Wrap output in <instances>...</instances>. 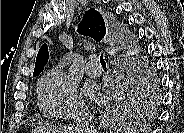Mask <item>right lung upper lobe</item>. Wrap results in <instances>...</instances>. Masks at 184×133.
I'll return each instance as SVG.
<instances>
[{
    "label": "right lung upper lobe",
    "instance_id": "cb5924a9",
    "mask_svg": "<svg viewBox=\"0 0 184 133\" xmlns=\"http://www.w3.org/2000/svg\"><path fill=\"white\" fill-rule=\"evenodd\" d=\"M77 32L92 37L96 41L102 40L106 33L105 22L102 15L93 8L86 11L82 21L78 24ZM48 57V47L46 44H43L36 57L33 76H38L43 71Z\"/></svg>",
    "mask_w": 184,
    "mask_h": 133
}]
</instances>
